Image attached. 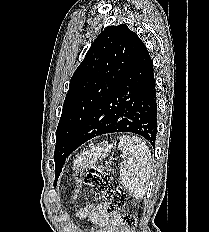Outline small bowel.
<instances>
[{
  "instance_id": "obj_1",
  "label": "small bowel",
  "mask_w": 209,
  "mask_h": 232,
  "mask_svg": "<svg viewBox=\"0 0 209 232\" xmlns=\"http://www.w3.org/2000/svg\"><path fill=\"white\" fill-rule=\"evenodd\" d=\"M80 217H87L98 227L93 232H132L122 222L117 221L108 213L107 204L101 203L89 206L78 213Z\"/></svg>"
}]
</instances>
